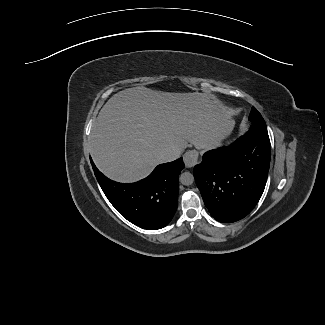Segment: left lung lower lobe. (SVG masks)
Segmentation results:
<instances>
[{
    "label": "left lung lower lobe",
    "mask_w": 325,
    "mask_h": 325,
    "mask_svg": "<svg viewBox=\"0 0 325 325\" xmlns=\"http://www.w3.org/2000/svg\"><path fill=\"white\" fill-rule=\"evenodd\" d=\"M230 146L206 152L194 167L196 185L211 216L232 223L247 216L267 181L271 145L264 120Z\"/></svg>",
    "instance_id": "left-lung-lower-lobe-1"
}]
</instances>
